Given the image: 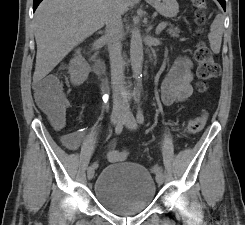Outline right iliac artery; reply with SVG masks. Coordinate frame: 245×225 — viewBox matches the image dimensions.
<instances>
[{"label":"right iliac artery","instance_id":"obj_1","mask_svg":"<svg viewBox=\"0 0 245 225\" xmlns=\"http://www.w3.org/2000/svg\"><path fill=\"white\" fill-rule=\"evenodd\" d=\"M107 100V97L105 98V101ZM122 130H123V123H118L117 125H116V127H115V133L116 134H120L121 132H122ZM92 167L93 168H97L98 167V164H97V162H94L93 164H92Z\"/></svg>","mask_w":245,"mask_h":225}]
</instances>
